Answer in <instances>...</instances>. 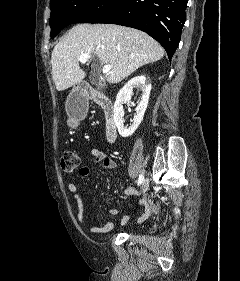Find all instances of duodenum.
I'll return each mask as SVG.
<instances>
[{
  "instance_id": "1",
  "label": "duodenum",
  "mask_w": 240,
  "mask_h": 281,
  "mask_svg": "<svg viewBox=\"0 0 240 281\" xmlns=\"http://www.w3.org/2000/svg\"><path fill=\"white\" fill-rule=\"evenodd\" d=\"M80 103L93 101L101 107L105 116V135L109 142L115 141L117 137V127L115 123V110L111 100L97 92L90 91L87 87H82L79 92Z\"/></svg>"
}]
</instances>
